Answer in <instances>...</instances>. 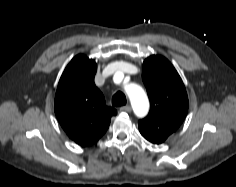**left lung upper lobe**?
I'll return each instance as SVG.
<instances>
[{"label":"left lung upper lobe","mask_w":236,"mask_h":187,"mask_svg":"<svg viewBox=\"0 0 236 187\" xmlns=\"http://www.w3.org/2000/svg\"><path fill=\"white\" fill-rule=\"evenodd\" d=\"M142 80L151 106L138 122L139 131L148 141L161 144L185 119L189 106L186 89L172 64L159 55L144 61Z\"/></svg>","instance_id":"1"}]
</instances>
